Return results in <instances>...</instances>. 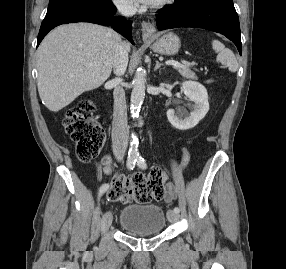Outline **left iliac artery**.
I'll return each instance as SVG.
<instances>
[{
    "mask_svg": "<svg viewBox=\"0 0 286 269\" xmlns=\"http://www.w3.org/2000/svg\"><path fill=\"white\" fill-rule=\"evenodd\" d=\"M135 162H136L137 166H139V168L146 169L147 164L145 162V159L142 156H140L139 154L135 157ZM174 211L176 213H179L180 210L178 207H175Z\"/></svg>",
    "mask_w": 286,
    "mask_h": 269,
    "instance_id": "1",
    "label": "left iliac artery"
}]
</instances>
